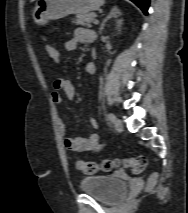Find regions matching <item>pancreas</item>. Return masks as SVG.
Wrapping results in <instances>:
<instances>
[{"mask_svg": "<svg viewBox=\"0 0 188 213\" xmlns=\"http://www.w3.org/2000/svg\"><path fill=\"white\" fill-rule=\"evenodd\" d=\"M96 18L95 13L78 14L72 22L76 25L89 26Z\"/></svg>", "mask_w": 188, "mask_h": 213, "instance_id": "pancreas-1", "label": "pancreas"}]
</instances>
